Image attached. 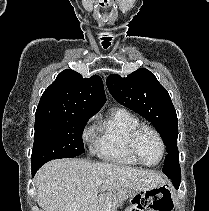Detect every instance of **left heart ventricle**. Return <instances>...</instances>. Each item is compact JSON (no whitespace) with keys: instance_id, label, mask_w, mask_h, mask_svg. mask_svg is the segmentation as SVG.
I'll return each instance as SVG.
<instances>
[{"instance_id":"obj_1","label":"left heart ventricle","mask_w":209,"mask_h":211,"mask_svg":"<svg viewBox=\"0 0 209 211\" xmlns=\"http://www.w3.org/2000/svg\"><path fill=\"white\" fill-rule=\"evenodd\" d=\"M137 149L141 158L148 164L158 162L161 156V147L157 138L149 131L141 133Z\"/></svg>"}]
</instances>
